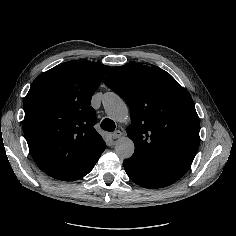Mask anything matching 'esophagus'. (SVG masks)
<instances>
[{
  "instance_id": "34e87169",
  "label": "esophagus",
  "mask_w": 236,
  "mask_h": 236,
  "mask_svg": "<svg viewBox=\"0 0 236 236\" xmlns=\"http://www.w3.org/2000/svg\"><path fill=\"white\" fill-rule=\"evenodd\" d=\"M121 135H122V132L119 131V130H117V131H115V132L113 133L112 137H113V139H117V138H119Z\"/></svg>"
}]
</instances>
